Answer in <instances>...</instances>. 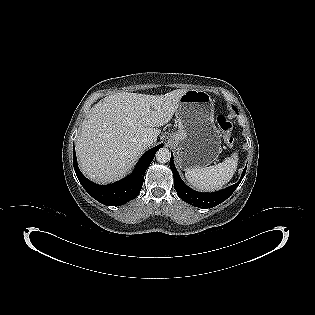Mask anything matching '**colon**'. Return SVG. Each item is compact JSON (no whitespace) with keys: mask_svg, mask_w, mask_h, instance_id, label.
<instances>
[{"mask_svg":"<svg viewBox=\"0 0 315 315\" xmlns=\"http://www.w3.org/2000/svg\"><path fill=\"white\" fill-rule=\"evenodd\" d=\"M216 122L218 127L224 134V141L226 146L232 147L234 144V138L232 136V123L231 121L224 115H218L216 117Z\"/></svg>","mask_w":315,"mask_h":315,"instance_id":"5ec220e1","label":"colon"}]
</instances>
